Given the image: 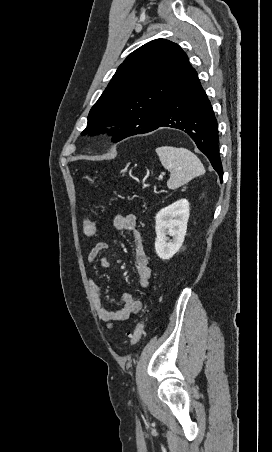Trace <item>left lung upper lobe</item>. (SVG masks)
<instances>
[{"instance_id": "1", "label": "left lung upper lobe", "mask_w": 272, "mask_h": 452, "mask_svg": "<svg viewBox=\"0 0 272 452\" xmlns=\"http://www.w3.org/2000/svg\"><path fill=\"white\" fill-rule=\"evenodd\" d=\"M192 69L187 55L175 43L152 40L132 52L119 66L88 115L82 135L117 126L113 142L152 126L174 90ZM122 140V139H121Z\"/></svg>"}]
</instances>
